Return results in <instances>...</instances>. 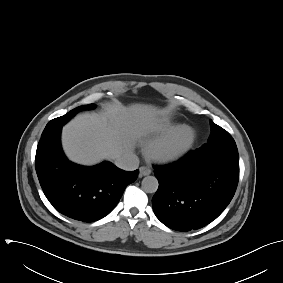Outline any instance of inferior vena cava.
Listing matches in <instances>:
<instances>
[{"mask_svg":"<svg viewBox=\"0 0 283 283\" xmlns=\"http://www.w3.org/2000/svg\"><path fill=\"white\" fill-rule=\"evenodd\" d=\"M115 165L123 170L132 171L138 168L139 159L133 152H127L116 158Z\"/></svg>","mask_w":283,"mask_h":283,"instance_id":"602c4592","label":"inferior vena cava"}]
</instances>
